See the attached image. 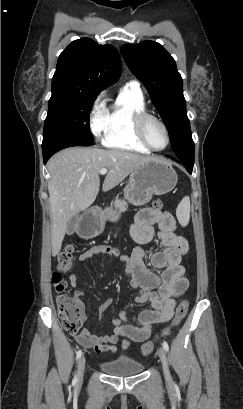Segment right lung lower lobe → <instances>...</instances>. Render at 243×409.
I'll return each mask as SVG.
<instances>
[{
	"instance_id": "98d812e1",
	"label": "right lung lower lobe",
	"mask_w": 243,
	"mask_h": 409,
	"mask_svg": "<svg viewBox=\"0 0 243 409\" xmlns=\"http://www.w3.org/2000/svg\"><path fill=\"white\" fill-rule=\"evenodd\" d=\"M94 145V143H86L82 142L79 140L71 139V138H55L53 140H50L47 143L42 144V150H43V160L44 163L48 161V159L57 151L71 147V146H91Z\"/></svg>"
}]
</instances>
